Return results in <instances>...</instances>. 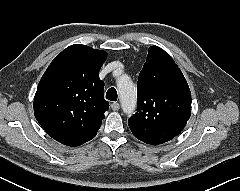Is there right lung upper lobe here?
<instances>
[{
	"mask_svg": "<svg viewBox=\"0 0 240 191\" xmlns=\"http://www.w3.org/2000/svg\"><path fill=\"white\" fill-rule=\"evenodd\" d=\"M105 51L75 44L51 62L34 98V114L42 128L56 141L79 146L98 132L109 103L99 71Z\"/></svg>",
	"mask_w": 240,
	"mask_h": 191,
	"instance_id": "1",
	"label": "right lung upper lobe"
}]
</instances>
